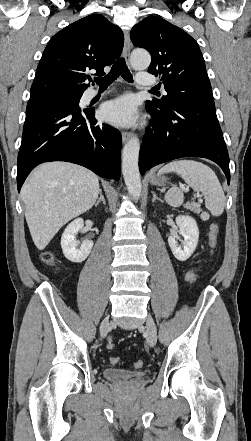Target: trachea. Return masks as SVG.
<instances>
[{
	"label": "trachea",
	"mask_w": 251,
	"mask_h": 441,
	"mask_svg": "<svg viewBox=\"0 0 251 441\" xmlns=\"http://www.w3.org/2000/svg\"><path fill=\"white\" fill-rule=\"evenodd\" d=\"M119 75H121V77L127 82L133 81L132 74L125 63L124 58L118 59L105 77L95 78V82L100 86V88L108 87L119 77Z\"/></svg>",
	"instance_id": "1"
}]
</instances>
